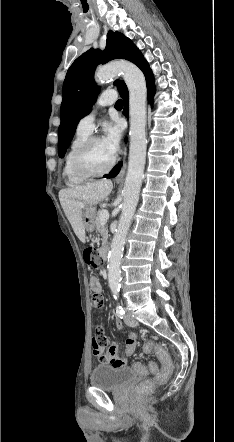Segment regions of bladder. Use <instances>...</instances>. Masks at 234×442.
Instances as JSON below:
<instances>
[{
  "label": "bladder",
  "instance_id": "31cf9c89",
  "mask_svg": "<svg viewBox=\"0 0 234 442\" xmlns=\"http://www.w3.org/2000/svg\"><path fill=\"white\" fill-rule=\"evenodd\" d=\"M137 376L128 366L97 365L90 374V384L104 390H118L131 383Z\"/></svg>",
  "mask_w": 234,
  "mask_h": 442
}]
</instances>
